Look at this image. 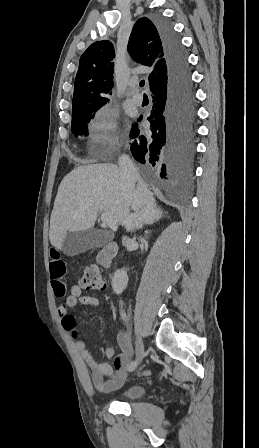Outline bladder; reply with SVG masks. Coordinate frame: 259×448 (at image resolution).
<instances>
[{
	"instance_id": "bladder-1",
	"label": "bladder",
	"mask_w": 259,
	"mask_h": 448,
	"mask_svg": "<svg viewBox=\"0 0 259 448\" xmlns=\"http://www.w3.org/2000/svg\"><path fill=\"white\" fill-rule=\"evenodd\" d=\"M146 393V388L142 385H132L122 390L116 396L120 399L125 400H136L140 399Z\"/></svg>"
}]
</instances>
